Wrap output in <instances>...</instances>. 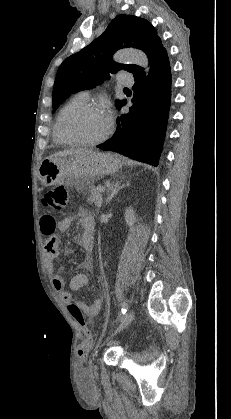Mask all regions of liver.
Listing matches in <instances>:
<instances>
[{
    "label": "liver",
    "mask_w": 231,
    "mask_h": 419,
    "mask_svg": "<svg viewBox=\"0 0 231 419\" xmlns=\"http://www.w3.org/2000/svg\"><path fill=\"white\" fill-rule=\"evenodd\" d=\"M91 152H92L91 150H87V149H67V150L55 153L50 158L66 157V156H72V155H83V154H87Z\"/></svg>",
    "instance_id": "6515ba94"
}]
</instances>
